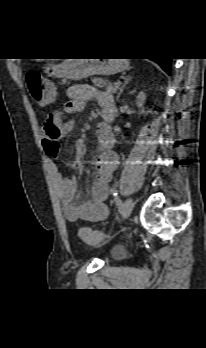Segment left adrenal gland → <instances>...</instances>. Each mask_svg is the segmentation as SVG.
<instances>
[{
	"label": "left adrenal gland",
	"mask_w": 206,
	"mask_h": 348,
	"mask_svg": "<svg viewBox=\"0 0 206 348\" xmlns=\"http://www.w3.org/2000/svg\"><path fill=\"white\" fill-rule=\"evenodd\" d=\"M132 79V77L131 76H126V77H124V83H123V85H122V87L119 89V92H118V95H117V100H119V98H120V95H121V93L123 92V89L125 88V86L127 85V83L130 81Z\"/></svg>",
	"instance_id": "1"
}]
</instances>
